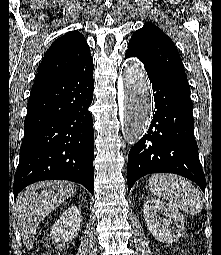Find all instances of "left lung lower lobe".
Returning <instances> with one entry per match:
<instances>
[{
	"label": "left lung lower lobe",
	"mask_w": 221,
	"mask_h": 255,
	"mask_svg": "<svg viewBox=\"0 0 221 255\" xmlns=\"http://www.w3.org/2000/svg\"><path fill=\"white\" fill-rule=\"evenodd\" d=\"M126 58L134 57L126 53ZM154 93L155 112L148 133L128 156V190L149 173H174L194 181L205 192V176L194 139L190 90L145 68Z\"/></svg>",
	"instance_id": "left-lung-lower-lobe-1"
}]
</instances>
